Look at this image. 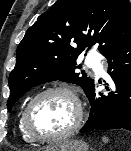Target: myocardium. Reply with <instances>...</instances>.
<instances>
[{
  "instance_id": "obj_1",
  "label": "myocardium",
  "mask_w": 131,
  "mask_h": 151,
  "mask_svg": "<svg viewBox=\"0 0 131 151\" xmlns=\"http://www.w3.org/2000/svg\"><path fill=\"white\" fill-rule=\"evenodd\" d=\"M49 94H62L68 97L74 105V119L71 125L63 132L53 136L36 135L29 126V114L34 104L41 98ZM84 117L83 105L78 95L69 87L64 85H56L47 87L35 94L25 106L22 112V127L24 133L33 142L52 143L66 139L72 135L81 125Z\"/></svg>"
}]
</instances>
